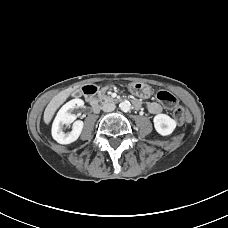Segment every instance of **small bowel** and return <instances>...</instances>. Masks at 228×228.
Returning <instances> with one entry per match:
<instances>
[{"instance_id":"1","label":"small bowel","mask_w":228,"mask_h":228,"mask_svg":"<svg viewBox=\"0 0 228 228\" xmlns=\"http://www.w3.org/2000/svg\"><path fill=\"white\" fill-rule=\"evenodd\" d=\"M134 106L137 109H140L143 107L142 103L140 101H135L134 102ZM146 108L147 110L151 113V114H159L163 111V107L157 103V102H149L146 104Z\"/></svg>"}]
</instances>
